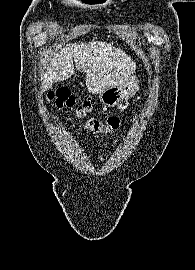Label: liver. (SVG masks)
<instances>
[{
    "mask_svg": "<svg viewBox=\"0 0 195 270\" xmlns=\"http://www.w3.org/2000/svg\"><path fill=\"white\" fill-rule=\"evenodd\" d=\"M85 73L87 89L100 94L110 87L123 85L133 74L136 64L122 49L103 41L67 45L54 55L43 74V91L53 82L63 81L74 75V64Z\"/></svg>",
    "mask_w": 195,
    "mask_h": 270,
    "instance_id": "1",
    "label": "liver"
}]
</instances>
